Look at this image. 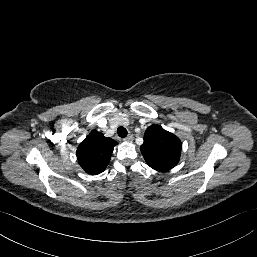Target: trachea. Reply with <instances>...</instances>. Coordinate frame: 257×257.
I'll return each instance as SVG.
<instances>
[{"instance_id":"obj_1","label":"trachea","mask_w":257,"mask_h":257,"mask_svg":"<svg viewBox=\"0 0 257 257\" xmlns=\"http://www.w3.org/2000/svg\"><path fill=\"white\" fill-rule=\"evenodd\" d=\"M117 134L119 135V137L125 138L128 133H127L126 128L120 126V127H118V129H117Z\"/></svg>"}]
</instances>
